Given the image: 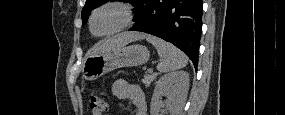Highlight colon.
<instances>
[{"mask_svg":"<svg viewBox=\"0 0 285 115\" xmlns=\"http://www.w3.org/2000/svg\"><path fill=\"white\" fill-rule=\"evenodd\" d=\"M88 108L92 115H103L106 112L107 104L102 97L91 94L88 101Z\"/></svg>","mask_w":285,"mask_h":115,"instance_id":"1","label":"colon"}]
</instances>
